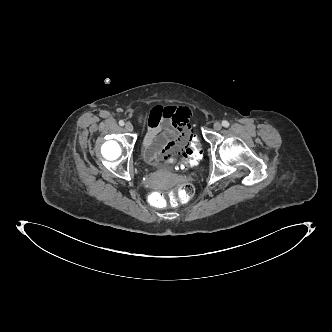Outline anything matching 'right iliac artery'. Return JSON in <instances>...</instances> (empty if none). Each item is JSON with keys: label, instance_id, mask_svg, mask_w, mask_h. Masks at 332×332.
<instances>
[{"label": "right iliac artery", "instance_id": "right-iliac-artery-1", "mask_svg": "<svg viewBox=\"0 0 332 332\" xmlns=\"http://www.w3.org/2000/svg\"><path fill=\"white\" fill-rule=\"evenodd\" d=\"M119 125H120V126H124V121H123V120H120V121H119Z\"/></svg>", "mask_w": 332, "mask_h": 332}]
</instances>
